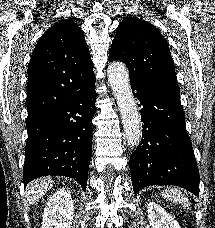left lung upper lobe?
Instances as JSON below:
<instances>
[{
	"instance_id": "left-lung-upper-lobe-1",
	"label": "left lung upper lobe",
	"mask_w": 215,
	"mask_h": 228,
	"mask_svg": "<svg viewBox=\"0 0 215 228\" xmlns=\"http://www.w3.org/2000/svg\"><path fill=\"white\" fill-rule=\"evenodd\" d=\"M121 60L131 81L177 84L171 53L162 34L149 22L127 17L118 26L109 61Z\"/></svg>"
}]
</instances>
